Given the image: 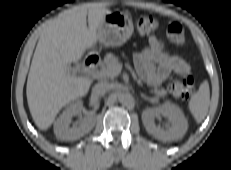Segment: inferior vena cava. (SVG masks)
Listing matches in <instances>:
<instances>
[{
  "label": "inferior vena cava",
  "mask_w": 231,
  "mask_h": 170,
  "mask_svg": "<svg viewBox=\"0 0 231 170\" xmlns=\"http://www.w3.org/2000/svg\"><path fill=\"white\" fill-rule=\"evenodd\" d=\"M110 89H111V85L109 83L101 82L93 87V94L97 96H101L109 92Z\"/></svg>",
  "instance_id": "inferior-vena-cava-1"
}]
</instances>
